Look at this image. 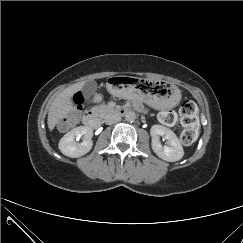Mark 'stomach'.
<instances>
[{
	"label": "stomach",
	"mask_w": 243,
	"mask_h": 243,
	"mask_svg": "<svg viewBox=\"0 0 243 243\" xmlns=\"http://www.w3.org/2000/svg\"><path fill=\"white\" fill-rule=\"evenodd\" d=\"M109 92L125 100L149 103L156 109L169 110L181 99L180 90L162 78H134L114 76L108 83Z\"/></svg>",
	"instance_id": "stomach-1"
}]
</instances>
